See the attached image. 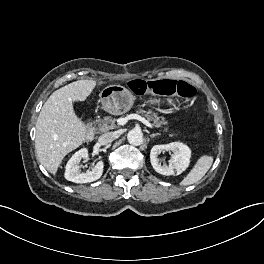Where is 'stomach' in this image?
Segmentation results:
<instances>
[{"label": "stomach", "instance_id": "stomach-1", "mask_svg": "<svg viewBox=\"0 0 264 264\" xmlns=\"http://www.w3.org/2000/svg\"><path fill=\"white\" fill-rule=\"evenodd\" d=\"M99 96L102 109L113 115H121L128 112L135 101V96L131 91L121 85H109L101 91ZM149 102L158 104L159 100L150 99Z\"/></svg>", "mask_w": 264, "mask_h": 264}]
</instances>
